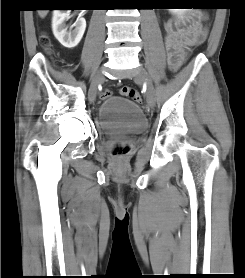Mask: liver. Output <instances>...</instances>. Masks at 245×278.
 Masks as SVG:
<instances>
[{"mask_svg":"<svg viewBox=\"0 0 245 278\" xmlns=\"http://www.w3.org/2000/svg\"><path fill=\"white\" fill-rule=\"evenodd\" d=\"M38 14L41 18H44L48 14V10H38Z\"/></svg>","mask_w":245,"mask_h":278,"instance_id":"liver-1","label":"liver"}]
</instances>
